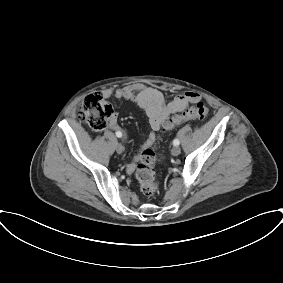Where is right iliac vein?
Segmentation results:
<instances>
[{"mask_svg": "<svg viewBox=\"0 0 283 283\" xmlns=\"http://www.w3.org/2000/svg\"><path fill=\"white\" fill-rule=\"evenodd\" d=\"M116 151L117 153L121 154L124 151V147L122 146L121 143H117L116 145Z\"/></svg>", "mask_w": 283, "mask_h": 283, "instance_id": "63e3f726", "label": "right iliac vein"}]
</instances>
